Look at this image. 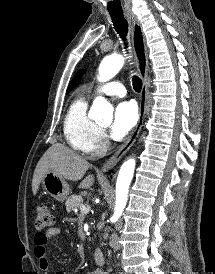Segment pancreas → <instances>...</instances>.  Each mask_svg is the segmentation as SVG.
<instances>
[{"label": "pancreas", "mask_w": 215, "mask_h": 274, "mask_svg": "<svg viewBox=\"0 0 215 274\" xmlns=\"http://www.w3.org/2000/svg\"><path fill=\"white\" fill-rule=\"evenodd\" d=\"M65 205L67 212L70 213L76 211L81 205H83V199L80 195H72L67 199ZM79 217L82 219L84 215L80 214Z\"/></svg>", "instance_id": "cf45deb5"}]
</instances>
